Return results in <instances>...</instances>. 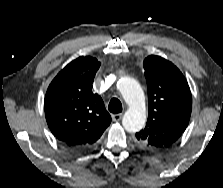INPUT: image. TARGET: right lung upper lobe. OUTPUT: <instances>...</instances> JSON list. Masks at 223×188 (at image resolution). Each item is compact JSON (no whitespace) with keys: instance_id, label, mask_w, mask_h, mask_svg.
<instances>
[{"instance_id":"right-lung-upper-lobe-1","label":"right lung upper lobe","mask_w":223,"mask_h":188,"mask_svg":"<svg viewBox=\"0 0 223 188\" xmlns=\"http://www.w3.org/2000/svg\"><path fill=\"white\" fill-rule=\"evenodd\" d=\"M100 67L93 57H79L62 69L49 85L44 109L53 135L69 148L87 150L111 123L103 100L92 93Z\"/></svg>"}]
</instances>
